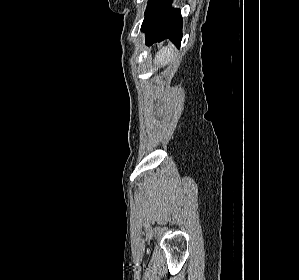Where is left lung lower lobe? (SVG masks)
<instances>
[{"label": "left lung lower lobe", "instance_id": "obj_1", "mask_svg": "<svg viewBox=\"0 0 299 280\" xmlns=\"http://www.w3.org/2000/svg\"><path fill=\"white\" fill-rule=\"evenodd\" d=\"M172 0H149L141 30L146 35V44L152 45L169 38L180 46L182 17L179 9H171Z\"/></svg>", "mask_w": 299, "mask_h": 280}]
</instances>
